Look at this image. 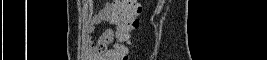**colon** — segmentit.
Instances as JSON below:
<instances>
[{
    "label": "colon",
    "instance_id": "colon-1",
    "mask_svg": "<svg viewBox=\"0 0 267 60\" xmlns=\"http://www.w3.org/2000/svg\"><path fill=\"white\" fill-rule=\"evenodd\" d=\"M138 14L139 4L136 0H117L114 2L109 19L116 26L117 44L109 52L111 59H129L126 43H128L131 33L138 28Z\"/></svg>",
    "mask_w": 267,
    "mask_h": 60
}]
</instances>
